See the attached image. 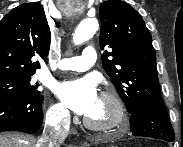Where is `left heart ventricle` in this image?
<instances>
[{
  "instance_id": "1",
  "label": "left heart ventricle",
  "mask_w": 183,
  "mask_h": 147,
  "mask_svg": "<svg viewBox=\"0 0 183 147\" xmlns=\"http://www.w3.org/2000/svg\"><path fill=\"white\" fill-rule=\"evenodd\" d=\"M86 116L95 122L105 124L114 119L115 113L111 104L99 97L93 108Z\"/></svg>"
}]
</instances>
